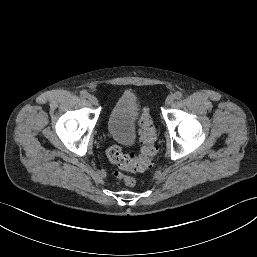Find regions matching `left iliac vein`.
I'll return each instance as SVG.
<instances>
[{
	"label": "left iliac vein",
	"instance_id": "obj_1",
	"mask_svg": "<svg viewBox=\"0 0 257 257\" xmlns=\"http://www.w3.org/2000/svg\"><path fill=\"white\" fill-rule=\"evenodd\" d=\"M173 101H174V96H173V95H169V96L166 98V100H165V104H166V105H170V104L173 103Z\"/></svg>",
	"mask_w": 257,
	"mask_h": 257
}]
</instances>
